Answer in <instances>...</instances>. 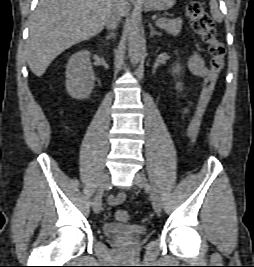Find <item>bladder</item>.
<instances>
[{
  "mask_svg": "<svg viewBox=\"0 0 254 267\" xmlns=\"http://www.w3.org/2000/svg\"><path fill=\"white\" fill-rule=\"evenodd\" d=\"M103 232L108 237L138 239L146 234V229L137 225H122L119 223H106Z\"/></svg>",
  "mask_w": 254,
  "mask_h": 267,
  "instance_id": "bladder-1",
  "label": "bladder"
}]
</instances>
